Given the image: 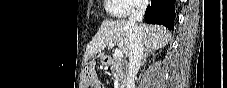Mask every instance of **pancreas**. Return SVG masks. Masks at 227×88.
I'll return each instance as SVG.
<instances>
[{"instance_id":"1","label":"pancreas","mask_w":227,"mask_h":88,"mask_svg":"<svg viewBox=\"0 0 227 88\" xmlns=\"http://www.w3.org/2000/svg\"><path fill=\"white\" fill-rule=\"evenodd\" d=\"M111 71L113 75L120 81L122 87L126 85L127 80V69L123 67L117 59L115 61H112L110 64Z\"/></svg>"}]
</instances>
